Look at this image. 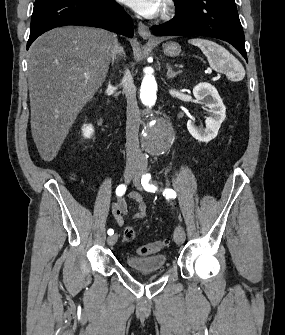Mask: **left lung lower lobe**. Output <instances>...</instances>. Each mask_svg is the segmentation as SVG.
<instances>
[{
    "label": "left lung lower lobe",
    "instance_id": "left-lung-lower-lobe-1",
    "mask_svg": "<svg viewBox=\"0 0 285 335\" xmlns=\"http://www.w3.org/2000/svg\"><path fill=\"white\" fill-rule=\"evenodd\" d=\"M176 16L152 30L160 35H203L232 44L247 60L235 0H174Z\"/></svg>",
    "mask_w": 285,
    "mask_h": 335
}]
</instances>
